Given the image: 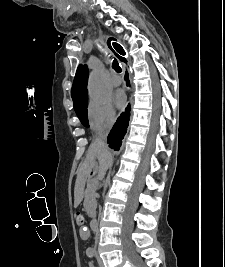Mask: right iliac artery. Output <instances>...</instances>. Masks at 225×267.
<instances>
[{
    "mask_svg": "<svg viewBox=\"0 0 225 267\" xmlns=\"http://www.w3.org/2000/svg\"><path fill=\"white\" fill-rule=\"evenodd\" d=\"M86 254L89 258H93L94 257V250L92 248H88L86 250Z\"/></svg>",
    "mask_w": 225,
    "mask_h": 267,
    "instance_id": "82829eb1",
    "label": "right iliac artery"
}]
</instances>
